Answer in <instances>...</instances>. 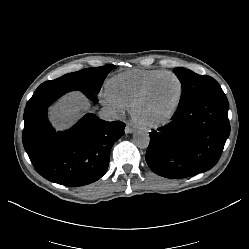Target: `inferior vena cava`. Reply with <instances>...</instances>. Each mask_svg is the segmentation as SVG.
Instances as JSON below:
<instances>
[{
    "mask_svg": "<svg viewBox=\"0 0 249 249\" xmlns=\"http://www.w3.org/2000/svg\"><path fill=\"white\" fill-rule=\"evenodd\" d=\"M98 116L100 119L105 121H115L118 119L117 112L110 106H104L101 108V110L98 112Z\"/></svg>",
    "mask_w": 249,
    "mask_h": 249,
    "instance_id": "602c4592",
    "label": "inferior vena cava"
}]
</instances>
